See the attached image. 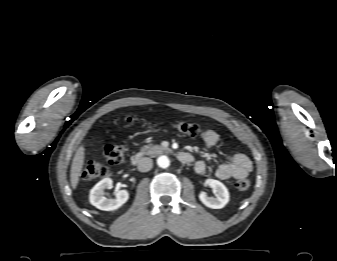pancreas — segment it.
<instances>
[{"label":"pancreas","mask_w":337,"mask_h":261,"mask_svg":"<svg viewBox=\"0 0 337 261\" xmlns=\"http://www.w3.org/2000/svg\"><path fill=\"white\" fill-rule=\"evenodd\" d=\"M164 152H169V149L159 145H151V144L144 145L140 150V154L149 155L151 157L162 154Z\"/></svg>","instance_id":"obj_1"}]
</instances>
